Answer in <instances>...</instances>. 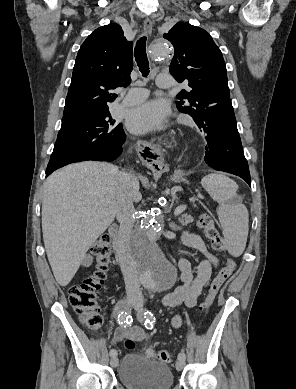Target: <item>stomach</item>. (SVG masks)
<instances>
[{"mask_svg": "<svg viewBox=\"0 0 296 389\" xmlns=\"http://www.w3.org/2000/svg\"><path fill=\"white\" fill-rule=\"evenodd\" d=\"M151 176L154 180L159 181L163 178L164 173L161 169H150Z\"/></svg>", "mask_w": 296, "mask_h": 389, "instance_id": "0dacf381", "label": "stomach"}]
</instances>
